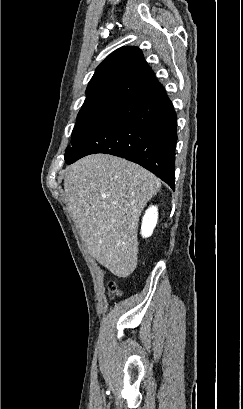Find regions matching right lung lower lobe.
Masks as SVG:
<instances>
[{
	"label": "right lung lower lobe",
	"mask_w": 243,
	"mask_h": 409,
	"mask_svg": "<svg viewBox=\"0 0 243 409\" xmlns=\"http://www.w3.org/2000/svg\"><path fill=\"white\" fill-rule=\"evenodd\" d=\"M177 117L158 81L125 99L113 115L65 159L67 164L94 153L133 161L173 190Z\"/></svg>",
	"instance_id": "right-lung-lower-lobe-1"
}]
</instances>
